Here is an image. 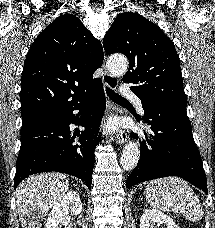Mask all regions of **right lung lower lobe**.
<instances>
[{"mask_svg": "<svg viewBox=\"0 0 215 228\" xmlns=\"http://www.w3.org/2000/svg\"><path fill=\"white\" fill-rule=\"evenodd\" d=\"M105 106L103 85L98 78L82 98L58 115L21 133L14 188L32 174L56 171L83 180L91 190L94 149L101 140L98 129ZM74 110H80L79 114H73ZM71 123L80 124L85 130L71 136ZM76 136L80 138L79 144L74 143Z\"/></svg>", "mask_w": 215, "mask_h": 228, "instance_id": "obj_1", "label": "right lung lower lobe"}]
</instances>
